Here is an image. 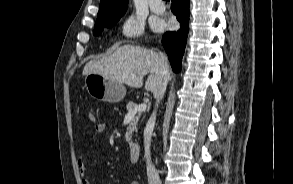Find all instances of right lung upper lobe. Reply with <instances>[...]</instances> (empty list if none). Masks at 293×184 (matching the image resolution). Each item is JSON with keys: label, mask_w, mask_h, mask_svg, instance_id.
Wrapping results in <instances>:
<instances>
[{"label": "right lung upper lobe", "mask_w": 293, "mask_h": 184, "mask_svg": "<svg viewBox=\"0 0 293 184\" xmlns=\"http://www.w3.org/2000/svg\"><path fill=\"white\" fill-rule=\"evenodd\" d=\"M127 5L128 0H101L95 25L119 20L126 12Z\"/></svg>", "instance_id": "1"}]
</instances>
